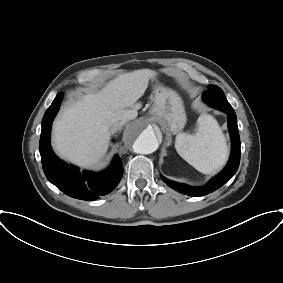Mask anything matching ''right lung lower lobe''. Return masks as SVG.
I'll return each mask as SVG.
<instances>
[{"instance_id": "right-lung-lower-lobe-1", "label": "right lung lower lobe", "mask_w": 283, "mask_h": 283, "mask_svg": "<svg viewBox=\"0 0 283 283\" xmlns=\"http://www.w3.org/2000/svg\"><path fill=\"white\" fill-rule=\"evenodd\" d=\"M62 98L63 93H58L43 116L39 142L43 171L47 179L66 195L86 201L96 200L117 186L123 175V166L121 160L116 156L113 164L107 170L98 174L88 172L81 174L76 168L68 166L56 157L50 147V131ZM85 180L89 181V188L84 184Z\"/></svg>"}]
</instances>
